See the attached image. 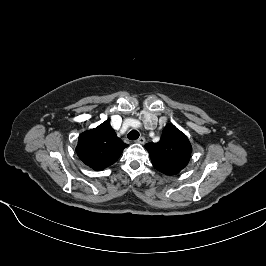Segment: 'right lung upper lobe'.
Wrapping results in <instances>:
<instances>
[{"label": "right lung upper lobe", "instance_id": "cb5924a9", "mask_svg": "<svg viewBox=\"0 0 266 266\" xmlns=\"http://www.w3.org/2000/svg\"><path fill=\"white\" fill-rule=\"evenodd\" d=\"M127 146L105 121L79 136L76 152L87 166L100 171L114 164Z\"/></svg>", "mask_w": 266, "mask_h": 266}]
</instances>
